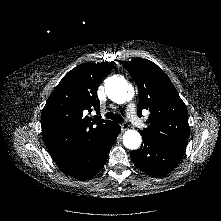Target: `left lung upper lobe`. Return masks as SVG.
<instances>
[{
    "mask_svg": "<svg viewBox=\"0 0 221 221\" xmlns=\"http://www.w3.org/2000/svg\"><path fill=\"white\" fill-rule=\"evenodd\" d=\"M122 64L139 88L138 116L143 109L150 111L148 126L140 134L185 150L189 137L187 109L168 76L147 59Z\"/></svg>",
    "mask_w": 221,
    "mask_h": 221,
    "instance_id": "1",
    "label": "left lung upper lobe"
}]
</instances>
